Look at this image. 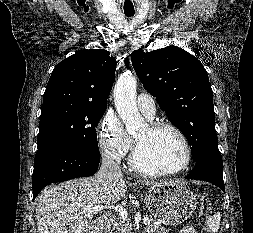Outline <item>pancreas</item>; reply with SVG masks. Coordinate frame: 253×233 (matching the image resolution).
Wrapping results in <instances>:
<instances>
[{
    "label": "pancreas",
    "mask_w": 253,
    "mask_h": 233,
    "mask_svg": "<svg viewBox=\"0 0 253 233\" xmlns=\"http://www.w3.org/2000/svg\"><path fill=\"white\" fill-rule=\"evenodd\" d=\"M151 233H169V230L151 219V224L147 226ZM110 233H131V224L127 219L118 218L114 220Z\"/></svg>",
    "instance_id": "pancreas-1"
}]
</instances>
